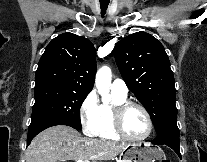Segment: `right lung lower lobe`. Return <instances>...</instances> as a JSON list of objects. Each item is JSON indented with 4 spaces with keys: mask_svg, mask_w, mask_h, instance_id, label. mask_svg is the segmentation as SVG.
Here are the masks:
<instances>
[{
    "mask_svg": "<svg viewBox=\"0 0 207 162\" xmlns=\"http://www.w3.org/2000/svg\"><path fill=\"white\" fill-rule=\"evenodd\" d=\"M56 125H67L73 127L70 123L56 118H41L31 121L28 129L27 144H29L31 140L41 131Z\"/></svg>",
    "mask_w": 207,
    "mask_h": 162,
    "instance_id": "98d812e1",
    "label": "right lung lower lobe"
}]
</instances>
